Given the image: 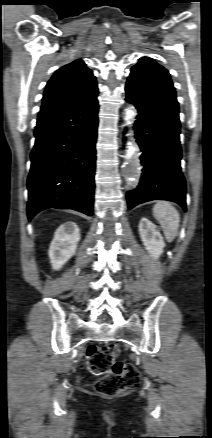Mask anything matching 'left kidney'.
Masks as SVG:
<instances>
[{
  "mask_svg": "<svg viewBox=\"0 0 212 438\" xmlns=\"http://www.w3.org/2000/svg\"><path fill=\"white\" fill-rule=\"evenodd\" d=\"M139 234L150 255L154 259L159 258L163 253L165 242L156 225L147 218H142L139 223Z\"/></svg>",
  "mask_w": 212,
  "mask_h": 438,
  "instance_id": "obj_1",
  "label": "left kidney"
}]
</instances>
